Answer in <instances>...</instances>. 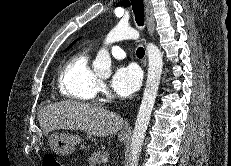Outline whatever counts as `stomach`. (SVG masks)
I'll use <instances>...</instances> for the list:
<instances>
[{"mask_svg": "<svg viewBox=\"0 0 231 166\" xmlns=\"http://www.w3.org/2000/svg\"><path fill=\"white\" fill-rule=\"evenodd\" d=\"M120 142H125L126 137L120 135ZM49 146L50 149L61 156L70 155L75 145L79 144L82 139L79 136L68 134V133H53L49 136Z\"/></svg>", "mask_w": 231, "mask_h": 166, "instance_id": "obj_1", "label": "stomach"}]
</instances>
